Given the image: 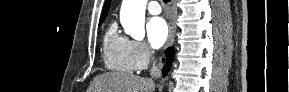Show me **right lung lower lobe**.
<instances>
[{"label":"right lung lower lobe","mask_w":289,"mask_h":92,"mask_svg":"<svg viewBox=\"0 0 289 92\" xmlns=\"http://www.w3.org/2000/svg\"><path fill=\"white\" fill-rule=\"evenodd\" d=\"M165 56H166V64L165 65L167 66V69L162 70L163 75H166L167 71L169 70V68L171 66V63L173 60V49L168 48L165 52Z\"/></svg>","instance_id":"obj_1"}]
</instances>
